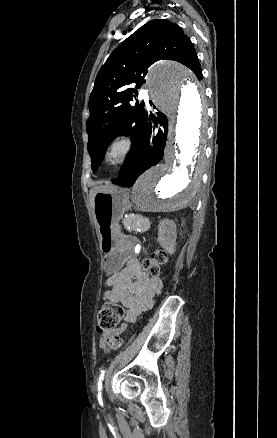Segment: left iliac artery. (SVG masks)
Returning <instances> with one entry per match:
<instances>
[{
  "label": "left iliac artery",
  "instance_id": "obj_1",
  "mask_svg": "<svg viewBox=\"0 0 277 438\" xmlns=\"http://www.w3.org/2000/svg\"><path fill=\"white\" fill-rule=\"evenodd\" d=\"M104 374H105V370H103L99 376L98 382H97V386H98V399L101 402L102 400V380L104 379Z\"/></svg>",
  "mask_w": 277,
  "mask_h": 438
}]
</instances>
